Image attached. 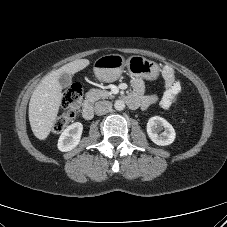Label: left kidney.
<instances>
[{"mask_svg": "<svg viewBox=\"0 0 227 227\" xmlns=\"http://www.w3.org/2000/svg\"><path fill=\"white\" fill-rule=\"evenodd\" d=\"M161 130L164 131L159 133ZM147 134L152 142L159 146L172 144L176 137L173 126L160 116H154L148 120Z\"/></svg>", "mask_w": 227, "mask_h": 227, "instance_id": "obj_1", "label": "left kidney"}]
</instances>
